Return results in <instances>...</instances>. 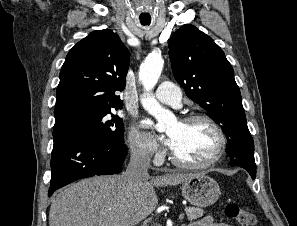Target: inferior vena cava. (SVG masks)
Listing matches in <instances>:
<instances>
[{
    "label": "inferior vena cava",
    "mask_w": 297,
    "mask_h": 226,
    "mask_svg": "<svg viewBox=\"0 0 297 226\" xmlns=\"http://www.w3.org/2000/svg\"><path fill=\"white\" fill-rule=\"evenodd\" d=\"M152 153L146 147L140 146L132 150L130 162L123 176L129 185H137L147 178Z\"/></svg>",
    "instance_id": "inferior-vena-cava-1"
}]
</instances>
